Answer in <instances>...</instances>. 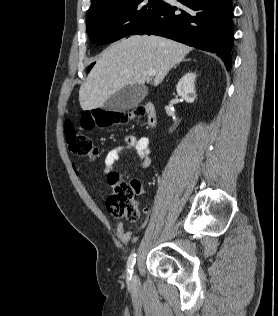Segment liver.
<instances>
[{
	"label": "liver",
	"mask_w": 278,
	"mask_h": 316,
	"mask_svg": "<svg viewBox=\"0 0 278 316\" xmlns=\"http://www.w3.org/2000/svg\"><path fill=\"white\" fill-rule=\"evenodd\" d=\"M191 48L155 35H134L103 51L79 90L83 110L102 107L117 91L128 85H143L150 69L156 71L158 86L169 70L180 63Z\"/></svg>",
	"instance_id": "6515ba94"
}]
</instances>
